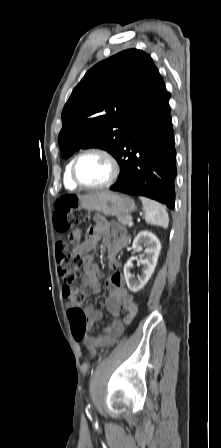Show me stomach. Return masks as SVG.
<instances>
[{"label": "stomach", "mask_w": 221, "mask_h": 448, "mask_svg": "<svg viewBox=\"0 0 221 448\" xmlns=\"http://www.w3.org/2000/svg\"><path fill=\"white\" fill-rule=\"evenodd\" d=\"M80 203L89 211H97L107 216H129L136 209L133 199L111 191L83 196Z\"/></svg>", "instance_id": "stomach-1"}]
</instances>
